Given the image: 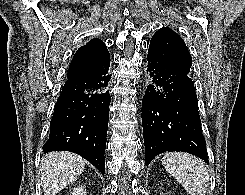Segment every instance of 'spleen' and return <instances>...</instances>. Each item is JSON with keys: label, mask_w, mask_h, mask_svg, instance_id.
<instances>
[{"label": "spleen", "mask_w": 245, "mask_h": 195, "mask_svg": "<svg viewBox=\"0 0 245 195\" xmlns=\"http://www.w3.org/2000/svg\"><path fill=\"white\" fill-rule=\"evenodd\" d=\"M162 164L189 195H206L209 173L202 160L181 152L166 153Z\"/></svg>", "instance_id": "spleen-1"}]
</instances>
